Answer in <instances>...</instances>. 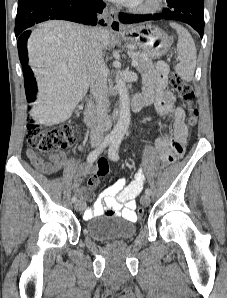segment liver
I'll return each mask as SVG.
<instances>
[{"instance_id":"6515ba94","label":"liver","mask_w":227,"mask_h":298,"mask_svg":"<svg viewBox=\"0 0 227 298\" xmlns=\"http://www.w3.org/2000/svg\"><path fill=\"white\" fill-rule=\"evenodd\" d=\"M87 27L62 20L38 25L28 39L29 65L38 83L34 117L40 125L51 126L69 119L86 95L90 74L86 57ZM106 49L110 33L95 28Z\"/></svg>"}]
</instances>
